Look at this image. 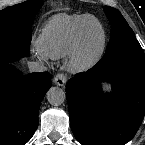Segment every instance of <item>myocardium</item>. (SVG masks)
Listing matches in <instances>:
<instances>
[{"mask_svg": "<svg viewBox=\"0 0 145 145\" xmlns=\"http://www.w3.org/2000/svg\"><path fill=\"white\" fill-rule=\"evenodd\" d=\"M95 25L99 30V39L92 47L88 45L86 38L88 25L80 29L77 43L69 53L67 60V68L71 72H85L94 67L101 59L106 46V31L98 20L95 21Z\"/></svg>", "mask_w": 145, "mask_h": 145, "instance_id": "myocardium-1", "label": "myocardium"}]
</instances>
